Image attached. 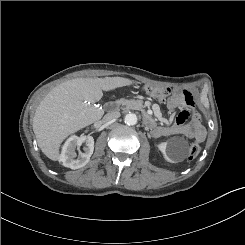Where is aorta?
Wrapping results in <instances>:
<instances>
[{"label":"aorta","mask_w":245,"mask_h":245,"mask_svg":"<svg viewBox=\"0 0 245 245\" xmlns=\"http://www.w3.org/2000/svg\"><path fill=\"white\" fill-rule=\"evenodd\" d=\"M137 120H138L137 115L134 113H128L124 117V122L127 125H135L137 123Z\"/></svg>","instance_id":"1"}]
</instances>
